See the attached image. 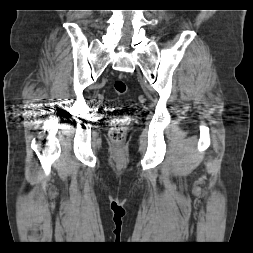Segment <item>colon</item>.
I'll return each mask as SVG.
<instances>
[{
  "label": "colon",
  "mask_w": 253,
  "mask_h": 253,
  "mask_svg": "<svg viewBox=\"0 0 253 253\" xmlns=\"http://www.w3.org/2000/svg\"><path fill=\"white\" fill-rule=\"evenodd\" d=\"M114 90L118 95H124L127 93L128 87L125 81L116 80L113 84ZM128 116L122 114L118 116L110 129V139L115 143H121L124 141L127 132Z\"/></svg>",
  "instance_id": "obj_1"
}]
</instances>
